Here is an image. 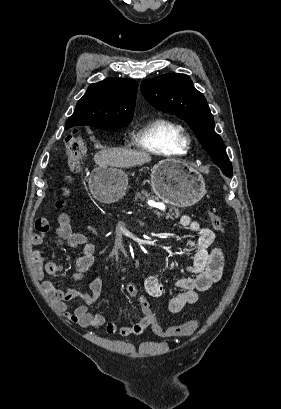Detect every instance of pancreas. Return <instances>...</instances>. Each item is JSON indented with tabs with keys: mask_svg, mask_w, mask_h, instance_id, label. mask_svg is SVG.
<instances>
[{
	"mask_svg": "<svg viewBox=\"0 0 281 409\" xmlns=\"http://www.w3.org/2000/svg\"><path fill=\"white\" fill-rule=\"evenodd\" d=\"M145 200V198H152V200H158V198H155L151 192H147V190H141V192H135V200ZM165 215V219H178L180 217V211L179 209H175V207H169V213H165V211H162Z\"/></svg>",
	"mask_w": 281,
	"mask_h": 409,
	"instance_id": "obj_1",
	"label": "pancreas"
}]
</instances>
